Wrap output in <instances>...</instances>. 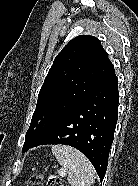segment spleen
Returning <instances> with one entry per match:
<instances>
[{
    "mask_svg": "<svg viewBox=\"0 0 138 186\" xmlns=\"http://www.w3.org/2000/svg\"><path fill=\"white\" fill-rule=\"evenodd\" d=\"M51 151L59 164L68 170L67 180L71 186H92L95 183L96 171L80 151L65 145H54Z\"/></svg>",
    "mask_w": 138,
    "mask_h": 186,
    "instance_id": "1",
    "label": "spleen"
}]
</instances>
